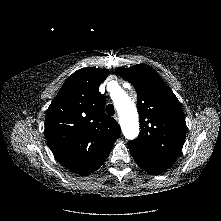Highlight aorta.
<instances>
[{
  "instance_id": "762f6f07",
  "label": "aorta",
  "mask_w": 221,
  "mask_h": 221,
  "mask_svg": "<svg viewBox=\"0 0 221 221\" xmlns=\"http://www.w3.org/2000/svg\"><path fill=\"white\" fill-rule=\"evenodd\" d=\"M112 99L118 112L125 138L129 140L135 139L139 133V120L133 101L123 90L113 93Z\"/></svg>"
}]
</instances>
